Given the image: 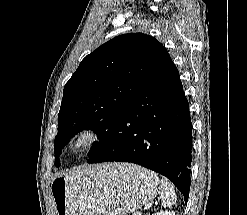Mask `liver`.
<instances>
[{
	"instance_id": "liver-1",
	"label": "liver",
	"mask_w": 247,
	"mask_h": 215,
	"mask_svg": "<svg viewBox=\"0 0 247 215\" xmlns=\"http://www.w3.org/2000/svg\"><path fill=\"white\" fill-rule=\"evenodd\" d=\"M103 168L107 171H110L112 169V164H104Z\"/></svg>"
}]
</instances>
